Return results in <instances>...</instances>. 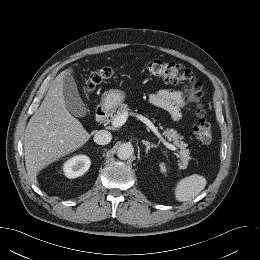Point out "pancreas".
Returning <instances> with one entry per match:
<instances>
[{
	"mask_svg": "<svg viewBox=\"0 0 260 260\" xmlns=\"http://www.w3.org/2000/svg\"><path fill=\"white\" fill-rule=\"evenodd\" d=\"M130 108L128 107L127 104H121L118 107V110L116 111V113L112 116V120H114L115 118H117L118 116H120L123 113H129ZM160 129H163V126L159 124ZM170 142H173V144L175 146H177L178 148H180L179 154H177V156L180 158V163H179V167L180 169H186L188 166V161L190 159V152L188 149H186L187 144L185 142L182 141V137L174 130V129H165L162 133Z\"/></svg>",
	"mask_w": 260,
	"mask_h": 260,
	"instance_id": "1",
	"label": "pancreas"
}]
</instances>
